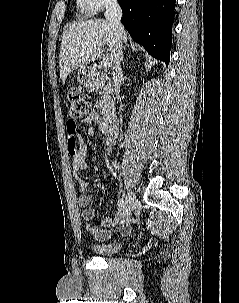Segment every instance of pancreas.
<instances>
[{
  "label": "pancreas",
  "instance_id": "obj_1",
  "mask_svg": "<svg viewBox=\"0 0 239 303\" xmlns=\"http://www.w3.org/2000/svg\"><path fill=\"white\" fill-rule=\"evenodd\" d=\"M96 85L102 90L100 92L101 99L98 102L99 107L101 108L102 115H108L112 109V92L111 83L107 81L102 75L101 77L96 78Z\"/></svg>",
  "mask_w": 239,
  "mask_h": 303
}]
</instances>
